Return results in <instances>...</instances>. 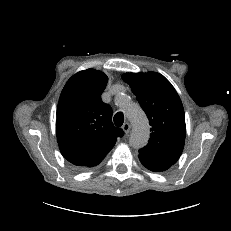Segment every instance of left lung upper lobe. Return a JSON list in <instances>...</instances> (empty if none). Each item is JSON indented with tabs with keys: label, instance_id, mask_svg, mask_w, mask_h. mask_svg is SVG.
I'll return each instance as SVG.
<instances>
[{
	"label": "left lung upper lobe",
	"instance_id": "obj_1",
	"mask_svg": "<svg viewBox=\"0 0 231 231\" xmlns=\"http://www.w3.org/2000/svg\"><path fill=\"white\" fill-rule=\"evenodd\" d=\"M122 79L130 85L151 125L149 142L139 150V156L150 163L172 166L182 154L186 136L179 95L156 72L125 73Z\"/></svg>",
	"mask_w": 231,
	"mask_h": 231
}]
</instances>
